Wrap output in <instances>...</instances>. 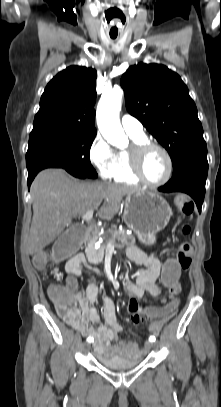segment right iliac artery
Returning a JSON list of instances; mask_svg holds the SVG:
<instances>
[{"mask_svg":"<svg viewBox=\"0 0 221 407\" xmlns=\"http://www.w3.org/2000/svg\"><path fill=\"white\" fill-rule=\"evenodd\" d=\"M87 341H88L89 343H91V342H93V338L88 337V338H87Z\"/></svg>","mask_w":221,"mask_h":407,"instance_id":"obj_1","label":"right iliac artery"}]
</instances>
